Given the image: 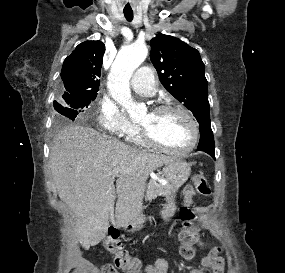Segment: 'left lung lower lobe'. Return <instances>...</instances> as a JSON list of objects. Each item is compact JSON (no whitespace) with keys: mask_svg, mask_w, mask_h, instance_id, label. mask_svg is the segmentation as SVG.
<instances>
[{"mask_svg":"<svg viewBox=\"0 0 285 273\" xmlns=\"http://www.w3.org/2000/svg\"><path fill=\"white\" fill-rule=\"evenodd\" d=\"M200 142L198 145L199 151H204L215 158L214 155V137L210 126V121H205L199 125Z\"/></svg>","mask_w":285,"mask_h":273,"instance_id":"obj_1","label":"left lung lower lobe"}]
</instances>
